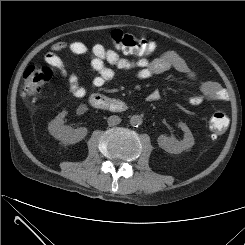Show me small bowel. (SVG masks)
Masks as SVG:
<instances>
[{
    "instance_id": "c3829d8e",
    "label": "small bowel",
    "mask_w": 245,
    "mask_h": 245,
    "mask_svg": "<svg viewBox=\"0 0 245 245\" xmlns=\"http://www.w3.org/2000/svg\"><path fill=\"white\" fill-rule=\"evenodd\" d=\"M61 51L89 56L91 67L97 72L92 80L94 88H101L109 83L114 78V68L132 71L138 81H146L168 70H175L191 81L197 79L185 59L175 51H163L153 60L146 58L132 60L120 56L116 51L101 44L88 47L82 42H56L52 45L51 50L44 55V60L57 71L68 92L76 98L85 97L88 94V88L80 84L75 74L68 73L64 59L57 54ZM157 97L158 95L153 92L148 98L154 101ZM225 99L226 92L219 84L206 81L200 84L197 94L188 98V103L192 106H198L205 102H219Z\"/></svg>"
}]
</instances>
